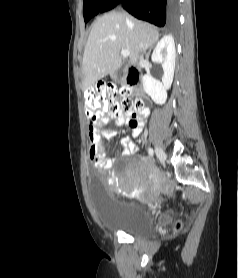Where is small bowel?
Segmentation results:
<instances>
[{"mask_svg":"<svg viewBox=\"0 0 238 278\" xmlns=\"http://www.w3.org/2000/svg\"><path fill=\"white\" fill-rule=\"evenodd\" d=\"M148 115L147 110H143L139 113L136 112H125L119 110L115 113L104 112L100 114V119L97 120L92 126H90V143L91 147L89 150L90 159L93 161L94 167L98 170L110 169L114 161L119 155L113 157H107L106 152L103 148L105 140L111 137V132L107 131L106 127L111 120L113 127L127 124L131 129V136H125L121 139V145L123 151L121 156H128L136 153L138 147L133 141V138H137L141 135L145 127V117Z\"/></svg>","mask_w":238,"mask_h":278,"instance_id":"c3829d8e","label":"small bowel"}]
</instances>
